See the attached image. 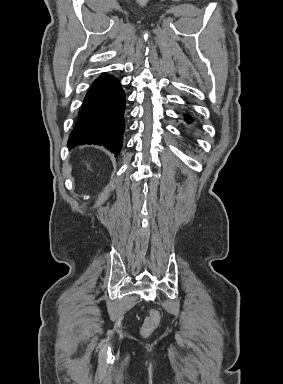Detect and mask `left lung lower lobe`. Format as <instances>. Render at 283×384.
<instances>
[{"instance_id": "1", "label": "left lung lower lobe", "mask_w": 283, "mask_h": 384, "mask_svg": "<svg viewBox=\"0 0 283 384\" xmlns=\"http://www.w3.org/2000/svg\"><path fill=\"white\" fill-rule=\"evenodd\" d=\"M185 120L187 121L188 124H191L192 118L189 115H185Z\"/></svg>"}]
</instances>
